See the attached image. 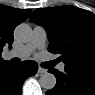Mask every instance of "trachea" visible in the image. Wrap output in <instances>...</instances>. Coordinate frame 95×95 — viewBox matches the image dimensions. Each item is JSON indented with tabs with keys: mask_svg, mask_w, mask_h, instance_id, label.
<instances>
[{
	"mask_svg": "<svg viewBox=\"0 0 95 95\" xmlns=\"http://www.w3.org/2000/svg\"><path fill=\"white\" fill-rule=\"evenodd\" d=\"M56 63H57L56 61L50 62V67H53Z\"/></svg>",
	"mask_w": 95,
	"mask_h": 95,
	"instance_id": "1",
	"label": "trachea"
}]
</instances>
